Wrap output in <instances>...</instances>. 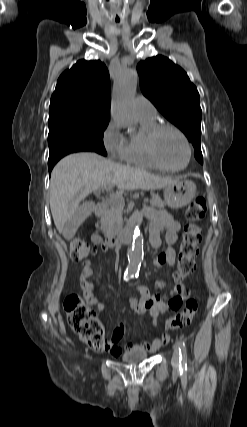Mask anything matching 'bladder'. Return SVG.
I'll return each instance as SVG.
<instances>
[{
    "label": "bladder",
    "mask_w": 247,
    "mask_h": 427,
    "mask_svg": "<svg viewBox=\"0 0 247 427\" xmlns=\"http://www.w3.org/2000/svg\"><path fill=\"white\" fill-rule=\"evenodd\" d=\"M147 357L148 353L145 350L136 348L125 351L121 356V360L125 363L132 364L141 362Z\"/></svg>",
    "instance_id": "obj_1"
}]
</instances>
